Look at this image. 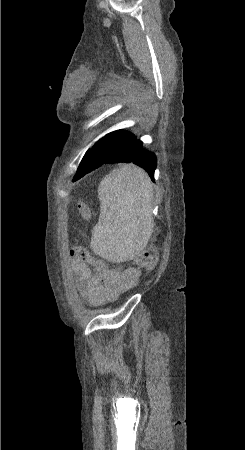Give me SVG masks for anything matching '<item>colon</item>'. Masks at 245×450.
<instances>
[{"label":"colon","instance_id":"obj_1","mask_svg":"<svg viewBox=\"0 0 245 450\" xmlns=\"http://www.w3.org/2000/svg\"><path fill=\"white\" fill-rule=\"evenodd\" d=\"M78 210L84 219H91L92 209L87 204H85L84 202H79ZM72 253L76 260H78L79 262L92 264L97 271H103L106 268L103 261L95 260L94 258H92L88 250L81 245H75L72 249ZM156 254V247L145 248L135 256L134 264L141 269H152L156 263Z\"/></svg>","mask_w":245,"mask_h":450}]
</instances>
